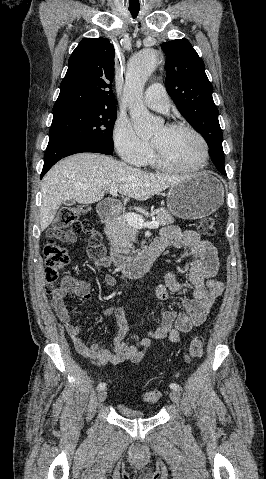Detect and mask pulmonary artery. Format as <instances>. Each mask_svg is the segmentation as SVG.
I'll use <instances>...</instances> for the list:
<instances>
[{
	"label": "pulmonary artery",
	"instance_id": "pulmonary-artery-1",
	"mask_svg": "<svg viewBox=\"0 0 266 479\" xmlns=\"http://www.w3.org/2000/svg\"><path fill=\"white\" fill-rule=\"evenodd\" d=\"M144 102L151 109L160 112H167L170 107L166 90L159 83L152 84L146 89Z\"/></svg>",
	"mask_w": 266,
	"mask_h": 479
}]
</instances>
